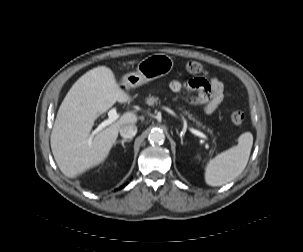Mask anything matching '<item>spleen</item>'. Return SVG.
I'll use <instances>...</instances> for the list:
<instances>
[{
    "mask_svg": "<svg viewBox=\"0 0 303 252\" xmlns=\"http://www.w3.org/2000/svg\"><path fill=\"white\" fill-rule=\"evenodd\" d=\"M252 145V134H241L236 146L208 161L205 167V182L210 186H222L234 180L245 169Z\"/></svg>",
    "mask_w": 303,
    "mask_h": 252,
    "instance_id": "1",
    "label": "spleen"
}]
</instances>
